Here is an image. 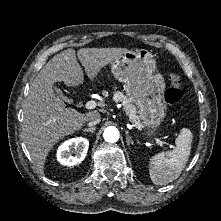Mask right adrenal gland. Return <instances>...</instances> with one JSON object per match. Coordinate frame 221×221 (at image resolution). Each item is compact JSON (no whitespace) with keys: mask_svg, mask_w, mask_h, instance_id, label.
<instances>
[{"mask_svg":"<svg viewBox=\"0 0 221 221\" xmlns=\"http://www.w3.org/2000/svg\"><path fill=\"white\" fill-rule=\"evenodd\" d=\"M95 129H96L95 126L91 127V128H85V129H83V132H91V133H93L95 131Z\"/></svg>","mask_w":221,"mask_h":221,"instance_id":"obj_1","label":"right adrenal gland"}]
</instances>
